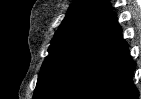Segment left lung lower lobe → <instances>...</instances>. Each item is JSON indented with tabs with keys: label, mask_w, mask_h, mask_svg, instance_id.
Returning a JSON list of instances; mask_svg holds the SVG:
<instances>
[{
	"label": "left lung lower lobe",
	"mask_w": 141,
	"mask_h": 99,
	"mask_svg": "<svg viewBox=\"0 0 141 99\" xmlns=\"http://www.w3.org/2000/svg\"><path fill=\"white\" fill-rule=\"evenodd\" d=\"M135 63L114 15L73 55L38 99H138Z\"/></svg>",
	"instance_id": "left-lung-lower-lobe-1"
}]
</instances>
